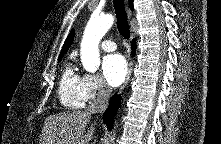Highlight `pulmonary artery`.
I'll use <instances>...</instances> for the list:
<instances>
[{
  "mask_svg": "<svg viewBox=\"0 0 221 144\" xmlns=\"http://www.w3.org/2000/svg\"><path fill=\"white\" fill-rule=\"evenodd\" d=\"M101 49H103L106 52H112L116 50V44L113 41L105 40L100 45Z\"/></svg>",
  "mask_w": 221,
  "mask_h": 144,
  "instance_id": "pulmonary-artery-1",
  "label": "pulmonary artery"
}]
</instances>
